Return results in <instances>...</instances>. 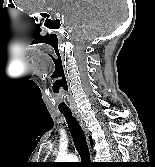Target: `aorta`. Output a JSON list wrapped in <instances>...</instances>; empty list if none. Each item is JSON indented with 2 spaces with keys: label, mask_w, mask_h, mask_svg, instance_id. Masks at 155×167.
<instances>
[{
  "label": "aorta",
  "mask_w": 155,
  "mask_h": 167,
  "mask_svg": "<svg viewBox=\"0 0 155 167\" xmlns=\"http://www.w3.org/2000/svg\"><path fill=\"white\" fill-rule=\"evenodd\" d=\"M57 160L59 162H77L78 158L75 155L69 154V155H59L57 157Z\"/></svg>",
  "instance_id": "762f6f07"
}]
</instances>
